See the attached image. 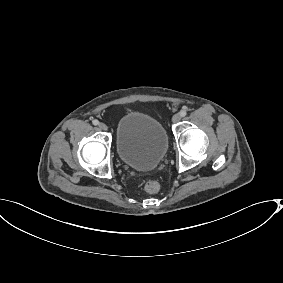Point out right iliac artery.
<instances>
[{
    "label": "right iliac artery",
    "mask_w": 283,
    "mask_h": 283,
    "mask_svg": "<svg viewBox=\"0 0 283 283\" xmlns=\"http://www.w3.org/2000/svg\"><path fill=\"white\" fill-rule=\"evenodd\" d=\"M93 124H94V125H98V124H99V121L95 119V120H93Z\"/></svg>",
    "instance_id": "obj_1"
}]
</instances>
